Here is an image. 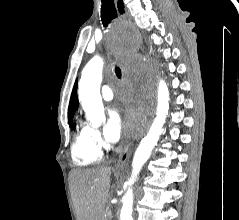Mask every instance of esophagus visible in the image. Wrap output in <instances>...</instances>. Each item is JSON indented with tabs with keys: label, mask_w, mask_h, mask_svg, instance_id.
I'll list each match as a JSON object with an SVG mask.
<instances>
[{
	"label": "esophagus",
	"mask_w": 239,
	"mask_h": 220,
	"mask_svg": "<svg viewBox=\"0 0 239 220\" xmlns=\"http://www.w3.org/2000/svg\"><path fill=\"white\" fill-rule=\"evenodd\" d=\"M117 11L120 13V15H125L128 14V12L126 11V8L123 7V0H115ZM126 11V12H125ZM149 122L147 121L146 123V127H148ZM132 153V142L127 143L121 154L119 155V158L117 160V163L115 165L116 169H120L123 168L125 166V164L127 163V161L129 160L130 156Z\"/></svg>",
	"instance_id": "obj_1"
}]
</instances>
